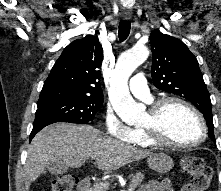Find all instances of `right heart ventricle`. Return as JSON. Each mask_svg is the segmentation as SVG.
<instances>
[{
    "label": "right heart ventricle",
    "mask_w": 221,
    "mask_h": 191,
    "mask_svg": "<svg viewBox=\"0 0 221 191\" xmlns=\"http://www.w3.org/2000/svg\"><path fill=\"white\" fill-rule=\"evenodd\" d=\"M127 142L141 148H150L155 146L141 127L132 129L131 138Z\"/></svg>",
    "instance_id": "e07e8e85"
}]
</instances>
